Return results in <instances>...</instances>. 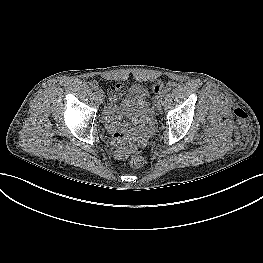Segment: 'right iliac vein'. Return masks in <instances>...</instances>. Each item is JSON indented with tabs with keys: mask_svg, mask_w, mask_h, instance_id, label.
I'll return each instance as SVG.
<instances>
[{
	"mask_svg": "<svg viewBox=\"0 0 263 263\" xmlns=\"http://www.w3.org/2000/svg\"><path fill=\"white\" fill-rule=\"evenodd\" d=\"M97 94H98L100 100H102V98H103V92H102V90H99V92H97Z\"/></svg>",
	"mask_w": 263,
	"mask_h": 263,
	"instance_id": "right-iliac-vein-1",
	"label": "right iliac vein"
}]
</instances>
